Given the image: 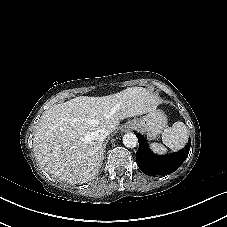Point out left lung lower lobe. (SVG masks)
Masks as SVG:
<instances>
[{
  "label": "left lung lower lobe",
  "mask_w": 227,
  "mask_h": 227,
  "mask_svg": "<svg viewBox=\"0 0 227 227\" xmlns=\"http://www.w3.org/2000/svg\"><path fill=\"white\" fill-rule=\"evenodd\" d=\"M135 135L139 141L136 162L141 171L146 175L155 176L173 173L182 165L189 154L191 145L190 138L186 147L179 152L158 156L150 151L148 144L142 135L138 133H135Z\"/></svg>",
  "instance_id": "left-lung-lower-lobe-1"
}]
</instances>
